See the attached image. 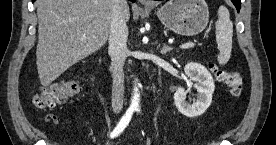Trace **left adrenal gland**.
Segmentation results:
<instances>
[{"instance_id":"a2214340","label":"left adrenal gland","mask_w":276,"mask_h":145,"mask_svg":"<svg viewBox=\"0 0 276 145\" xmlns=\"http://www.w3.org/2000/svg\"><path fill=\"white\" fill-rule=\"evenodd\" d=\"M172 50V47L164 45L163 48L161 49L162 54H166L167 52H170Z\"/></svg>"}]
</instances>
